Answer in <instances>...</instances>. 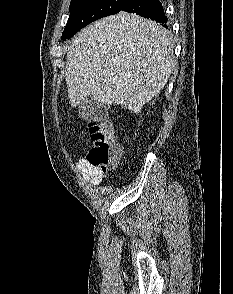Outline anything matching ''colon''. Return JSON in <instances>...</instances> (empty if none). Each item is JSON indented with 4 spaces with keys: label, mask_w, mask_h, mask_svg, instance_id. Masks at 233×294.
I'll use <instances>...</instances> for the list:
<instances>
[{
    "label": "colon",
    "mask_w": 233,
    "mask_h": 294,
    "mask_svg": "<svg viewBox=\"0 0 233 294\" xmlns=\"http://www.w3.org/2000/svg\"><path fill=\"white\" fill-rule=\"evenodd\" d=\"M88 130L93 145L86 160L90 166L104 173L115 166L122 147L116 140L114 127L110 122L91 121L88 123Z\"/></svg>",
    "instance_id": "obj_1"
}]
</instances>
